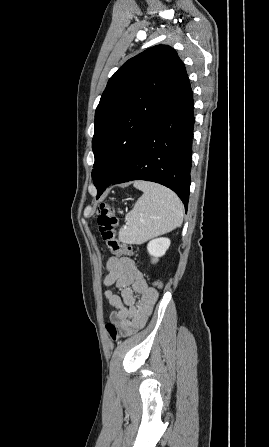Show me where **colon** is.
I'll use <instances>...</instances> for the list:
<instances>
[{"instance_id": "colon-1", "label": "colon", "mask_w": 269, "mask_h": 447, "mask_svg": "<svg viewBox=\"0 0 269 447\" xmlns=\"http://www.w3.org/2000/svg\"><path fill=\"white\" fill-rule=\"evenodd\" d=\"M116 213L117 209L113 204L103 202L99 205L95 219L100 236L110 251L116 256L126 258L136 257V251L133 248L116 239V234L118 232V219ZM162 287L163 281L161 279L154 280V288L156 290H161ZM107 332L114 341L119 340V333L116 329V325H108Z\"/></svg>"}]
</instances>
